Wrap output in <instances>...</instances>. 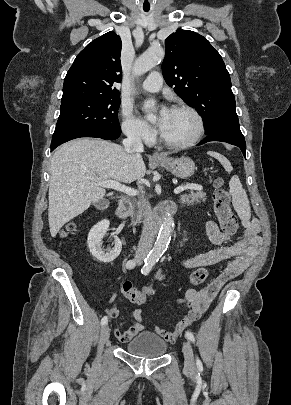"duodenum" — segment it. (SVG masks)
<instances>
[{
  "label": "duodenum",
  "instance_id": "1",
  "mask_svg": "<svg viewBox=\"0 0 291 405\" xmlns=\"http://www.w3.org/2000/svg\"><path fill=\"white\" fill-rule=\"evenodd\" d=\"M170 208L168 206L161 207L159 211V222L166 217V211ZM131 210V203L128 200H121L116 211V215L120 220H124Z\"/></svg>",
  "mask_w": 291,
  "mask_h": 405
}]
</instances>
